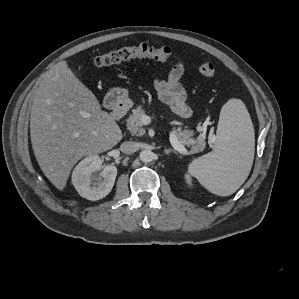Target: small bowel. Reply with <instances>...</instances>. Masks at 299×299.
Wrapping results in <instances>:
<instances>
[{"mask_svg":"<svg viewBox=\"0 0 299 299\" xmlns=\"http://www.w3.org/2000/svg\"><path fill=\"white\" fill-rule=\"evenodd\" d=\"M183 73L182 63L174 62L171 65L168 79H154L153 84L161 102L168 105L175 114L189 118L192 111L186 103V92L181 84Z\"/></svg>","mask_w":299,"mask_h":299,"instance_id":"c3829d8e","label":"small bowel"}]
</instances>
